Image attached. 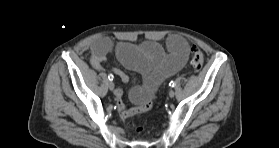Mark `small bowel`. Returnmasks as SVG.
Returning a JSON list of instances; mask_svg holds the SVG:
<instances>
[{
    "label": "small bowel",
    "instance_id": "small-bowel-1",
    "mask_svg": "<svg viewBox=\"0 0 279 148\" xmlns=\"http://www.w3.org/2000/svg\"><path fill=\"white\" fill-rule=\"evenodd\" d=\"M166 46L168 54L156 42H148L141 46L128 43L116 45L115 51L120 62L126 68L137 71L143 76V84L133 86L129 90V98L136 105L135 107L126 108L119 99L120 92L116 93L117 108L121 118L125 119L146 111L158 86L185 66L189 55L187 41L179 35H170ZM113 49L114 45L110 38L105 36L96 38L91 44L92 66L102 71L106 57ZM112 71L122 82L128 81L127 74L121 69L113 68Z\"/></svg>",
    "mask_w": 279,
    "mask_h": 148
}]
</instances>
